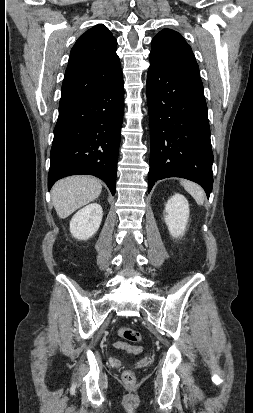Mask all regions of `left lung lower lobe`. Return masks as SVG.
<instances>
[{
	"mask_svg": "<svg viewBox=\"0 0 253 413\" xmlns=\"http://www.w3.org/2000/svg\"><path fill=\"white\" fill-rule=\"evenodd\" d=\"M150 118L148 192L157 180L181 177L212 191L213 154L203 87L150 56L147 74Z\"/></svg>",
	"mask_w": 253,
	"mask_h": 413,
	"instance_id": "obj_1",
	"label": "left lung lower lobe"
}]
</instances>
